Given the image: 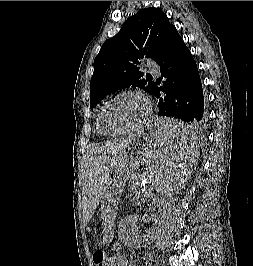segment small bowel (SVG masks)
<instances>
[{"mask_svg":"<svg viewBox=\"0 0 253 266\" xmlns=\"http://www.w3.org/2000/svg\"><path fill=\"white\" fill-rule=\"evenodd\" d=\"M116 250L119 251L120 248L117 247ZM144 261L146 263V266H152L153 258L151 255L147 254L144 256ZM118 266H135V265L126 258L120 257Z\"/></svg>","mask_w":253,"mask_h":266,"instance_id":"c3829d8e","label":"small bowel"}]
</instances>
